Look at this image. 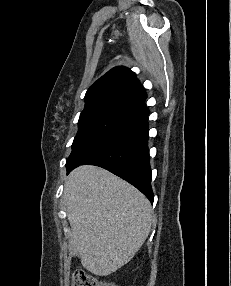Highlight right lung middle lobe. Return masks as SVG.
I'll use <instances>...</instances> for the list:
<instances>
[{
	"label": "right lung middle lobe",
	"instance_id": "1",
	"mask_svg": "<svg viewBox=\"0 0 231 286\" xmlns=\"http://www.w3.org/2000/svg\"><path fill=\"white\" fill-rule=\"evenodd\" d=\"M136 115L137 111L115 104H100L85 108L79 118V130L73 141L72 153L67 164L75 162L92 145Z\"/></svg>",
	"mask_w": 231,
	"mask_h": 286
}]
</instances>
